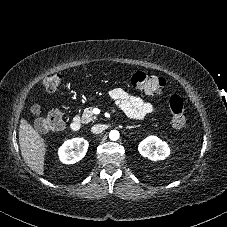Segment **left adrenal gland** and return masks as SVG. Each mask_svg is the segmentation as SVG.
Instances as JSON below:
<instances>
[{
	"mask_svg": "<svg viewBox=\"0 0 227 227\" xmlns=\"http://www.w3.org/2000/svg\"><path fill=\"white\" fill-rule=\"evenodd\" d=\"M136 127H138V126H136V125L135 126H127L126 128L131 129V128H136Z\"/></svg>",
	"mask_w": 227,
	"mask_h": 227,
	"instance_id": "obj_1",
	"label": "left adrenal gland"
}]
</instances>
